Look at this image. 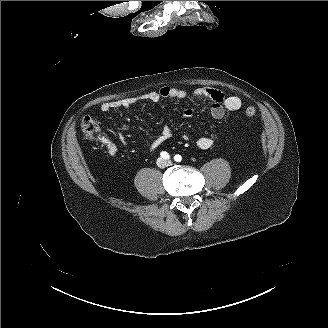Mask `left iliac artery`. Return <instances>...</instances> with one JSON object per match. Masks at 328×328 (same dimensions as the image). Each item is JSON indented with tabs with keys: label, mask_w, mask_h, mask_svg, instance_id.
<instances>
[{
	"label": "left iliac artery",
	"mask_w": 328,
	"mask_h": 328,
	"mask_svg": "<svg viewBox=\"0 0 328 328\" xmlns=\"http://www.w3.org/2000/svg\"><path fill=\"white\" fill-rule=\"evenodd\" d=\"M174 160H175L176 162H180V161L182 160L181 155H179V154L175 155V156H174Z\"/></svg>",
	"instance_id": "1"
}]
</instances>
